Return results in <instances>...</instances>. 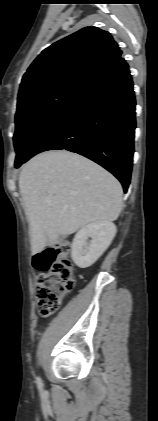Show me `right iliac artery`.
<instances>
[{
  "mask_svg": "<svg viewBox=\"0 0 158 421\" xmlns=\"http://www.w3.org/2000/svg\"><path fill=\"white\" fill-rule=\"evenodd\" d=\"M36 382H37L38 386H41V379L39 377H37Z\"/></svg>",
  "mask_w": 158,
  "mask_h": 421,
  "instance_id": "right-iliac-artery-1",
  "label": "right iliac artery"
}]
</instances>
